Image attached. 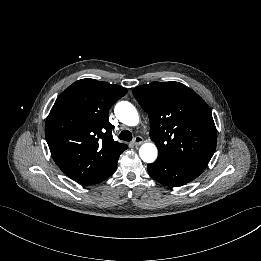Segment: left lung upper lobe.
Returning <instances> with one entry per match:
<instances>
[{"mask_svg": "<svg viewBox=\"0 0 261 261\" xmlns=\"http://www.w3.org/2000/svg\"><path fill=\"white\" fill-rule=\"evenodd\" d=\"M133 94L148 114L158 160L205 169L216 146V128L206 103L178 82H155Z\"/></svg>", "mask_w": 261, "mask_h": 261, "instance_id": "1", "label": "left lung upper lobe"}]
</instances>
